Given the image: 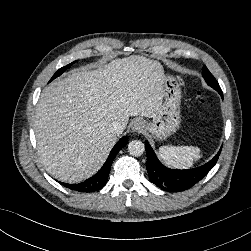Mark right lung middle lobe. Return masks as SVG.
<instances>
[{"mask_svg":"<svg viewBox=\"0 0 251 251\" xmlns=\"http://www.w3.org/2000/svg\"><path fill=\"white\" fill-rule=\"evenodd\" d=\"M76 61L60 68L54 75L53 77L51 78V80L49 82H51L53 79H55L56 77L60 76L66 69H68L72 64H74Z\"/></svg>","mask_w":251,"mask_h":251,"instance_id":"dd1d6c3e","label":"right lung middle lobe"}]
</instances>
